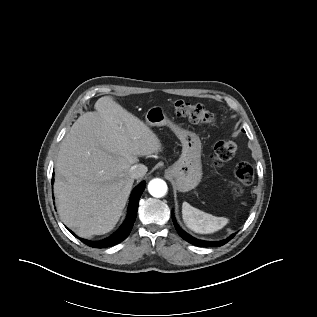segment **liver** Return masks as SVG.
Masks as SVG:
<instances>
[{
    "instance_id": "6515ba94",
    "label": "liver",
    "mask_w": 317,
    "mask_h": 317,
    "mask_svg": "<svg viewBox=\"0 0 317 317\" xmlns=\"http://www.w3.org/2000/svg\"><path fill=\"white\" fill-rule=\"evenodd\" d=\"M72 125L55 161L54 193L65 225L80 237L111 231L122 215L138 157L162 150L158 136L113 97Z\"/></svg>"
}]
</instances>
